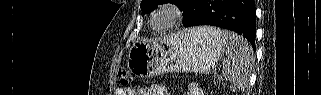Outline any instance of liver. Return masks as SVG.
<instances>
[{"label":"liver","mask_w":321,"mask_h":95,"mask_svg":"<svg viewBox=\"0 0 321 95\" xmlns=\"http://www.w3.org/2000/svg\"><path fill=\"white\" fill-rule=\"evenodd\" d=\"M198 32H201L202 34H204L203 31H201L199 28H196Z\"/></svg>","instance_id":"liver-1"}]
</instances>
